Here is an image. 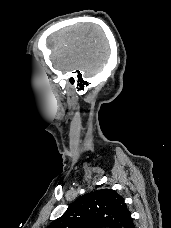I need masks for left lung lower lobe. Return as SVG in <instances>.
Segmentation results:
<instances>
[{
  "mask_svg": "<svg viewBox=\"0 0 171 228\" xmlns=\"http://www.w3.org/2000/svg\"><path fill=\"white\" fill-rule=\"evenodd\" d=\"M124 228H135L132 218L129 219Z\"/></svg>",
  "mask_w": 171,
  "mask_h": 228,
  "instance_id": "left-lung-lower-lobe-1",
  "label": "left lung lower lobe"
}]
</instances>
